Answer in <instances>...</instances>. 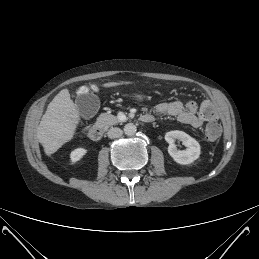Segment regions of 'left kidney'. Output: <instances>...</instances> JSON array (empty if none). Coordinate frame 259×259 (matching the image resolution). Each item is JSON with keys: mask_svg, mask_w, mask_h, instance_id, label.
<instances>
[{"mask_svg": "<svg viewBox=\"0 0 259 259\" xmlns=\"http://www.w3.org/2000/svg\"><path fill=\"white\" fill-rule=\"evenodd\" d=\"M175 139L182 141L187 148L185 150H178L175 145ZM165 140L169 144L168 153L173 160L181 165H187L194 162L200 156V144L190 135L183 131L174 130L165 134Z\"/></svg>", "mask_w": 259, "mask_h": 259, "instance_id": "obj_1", "label": "left kidney"}]
</instances>
